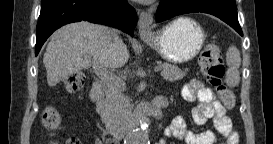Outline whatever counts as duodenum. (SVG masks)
<instances>
[{"instance_id": "1", "label": "duodenum", "mask_w": 273, "mask_h": 144, "mask_svg": "<svg viewBox=\"0 0 273 144\" xmlns=\"http://www.w3.org/2000/svg\"><path fill=\"white\" fill-rule=\"evenodd\" d=\"M104 87L101 83L95 82L90 91V98L97 109L103 106ZM168 101L165 97H156L151 103L136 107L133 114L119 125L109 127V132L116 140H121L135 126L142 121L153 118L160 119L163 117V109L167 106Z\"/></svg>"}]
</instances>
